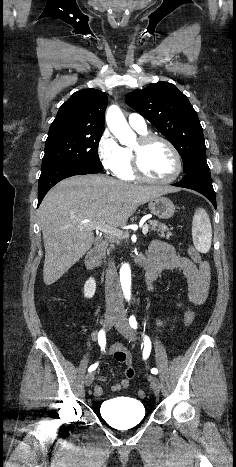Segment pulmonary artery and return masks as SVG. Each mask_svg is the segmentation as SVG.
<instances>
[{
  "label": "pulmonary artery",
  "mask_w": 236,
  "mask_h": 467,
  "mask_svg": "<svg viewBox=\"0 0 236 467\" xmlns=\"http://www.w3.org/2000/svg\"><path fill=\"white\" fill-rule=\"evenodd\" d=\"M130 126L138 131H147V123L143 116L137 113H131L128 116Z\"/></svg>",
  "instance_id": "e3ab8cb5"
}]
</instances>
